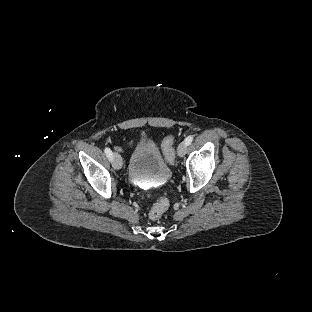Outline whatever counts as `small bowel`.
<instances>
[{
	"label": "small bowel",
	"instance_id": "c3829d8e",
	"mask_svg": "<svg viewBox=\"0 0 312 312\" xmlns=\"http://www.w3.org/2000/svg\"><path fill=\"white\" fill-rule=\"evenodd\" d=\"M131 146H132V143L129 144V147H131Z\"/></svg>",
	"mask_w": 312,
	"mask_h": 312
}]
</instances>
